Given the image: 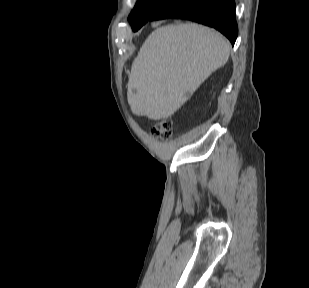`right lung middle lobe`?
I'll return each instance as SVG.
<instances>
[{
	"mask_svg": "<svg viewBox=\"0 0 309 288\" xmlns=\"http://www.w3.org/2000/svg\"><path fill=\"white\" fill-rule=\"evenodd\" d=\"M176 0H137L135 9L131 12L128 20L133 31H137L157 12Z\"/></svg>",
	"mask_w": 309,
	"mask_h": 288,
	"instance_id": "right-lung-middle-lobe-1",
	"label": "right lung middle lobe"
}]
</instances>
